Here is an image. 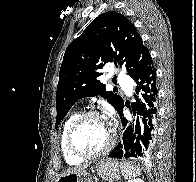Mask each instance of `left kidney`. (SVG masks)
Here are the masks:
<instances>
[{
	"label": "left kidney",
	"instance_id": "5707ae66",
	"mask_svg": "<svg viewBox=\"0 0 196 182\" xmlns=\"http://www.w3.org/2000/svg\"><path fill=\"white\" fill-rule=\"evenodd\" d=\"M128 182H144V181L140 178H136V179L128 180Z\"/></svg>",
	"mask_w": 196,
	"mask_h": 182
}]
</instances>
